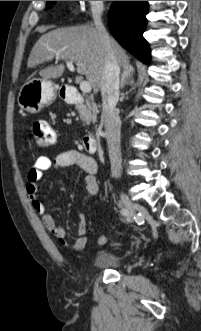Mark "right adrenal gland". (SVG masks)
<instances>
[{"label":"right adrenal gland","instance_id":"obj_1","mask_svg":"<svg viewBox=\"0 0 201 331\" xmlns=\"http://www.w3.org/2000/svg\"><path fill=\"white\" fill-rule=\"evenodd\" d=\"M133 74L129 71H123L121 75V82H120V88L123 89L125 84L129 83L130 78H132Z\"/></svg>","mask_w":201,"mask_h":331}]
</instances>
